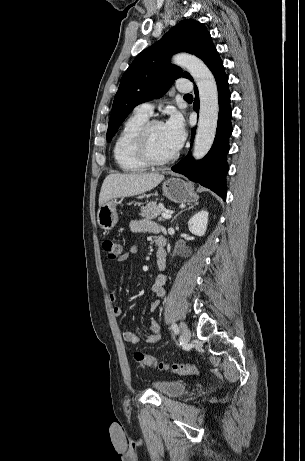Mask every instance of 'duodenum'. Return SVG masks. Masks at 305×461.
<instances>
[{
    "mask_svg": "<svg viewBox=\"0 0 305 461\" xmlns=\"http://www.w3.org/2000/svg\"><path fill=\"white\" fill-rule=\"evenodd\" d=\"M156 244L160 250H163L166 245V239L163 236H157L156 238Z\"/></svg>",
    "mask_w": 305,
    "mask_h": 461,
    "instance_id": "obj_1",
    "label": "duodenum"
}]
</instances>
